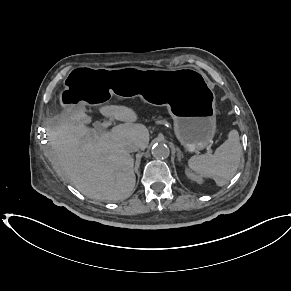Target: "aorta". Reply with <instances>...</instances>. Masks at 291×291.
<instances>
[{"label":"aorta","mask_w":291,"mask_h":291,"mask_svg":"<svg viewBox=\"0 0 291 291\" xmlns=\"http://www.w3.org/2000/svg\"><path fill=\"white\" fill-rule=\"evenodd\" d=\"M151 153L155 158L164 159V158L169 157L170 149L166 144L159 143V144H156L152 147Z\"/></svg>","instance_id":"1"}]
</instances>
